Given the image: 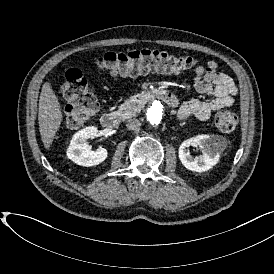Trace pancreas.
<instances>
[{
  "label": "pancreas",
  "mask_w": 274,
  "mask_h": 274,
  "mask_svg": "<svg viewBox=\"0 0 274 274\" xmlns=\"http://www.w3.org/2000/svg\"><path fill=\"white\" fill-rule=\"evenodd\" d=\"M134 98L135 97H131L129 100H126L117 110L118 118L121 121H125L140 113L141 104L135 102Z\"/></svg>",
  "instance_id": "1"
}]
</instances>
